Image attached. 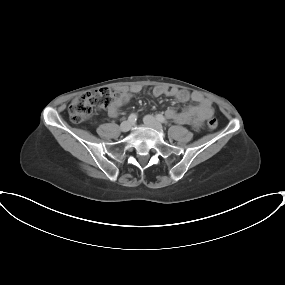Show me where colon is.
<instances>
[{
    "mask_svg": "<svg viewBox=\"0 0 285 285\" xmlns=\"http://www.w3.org/2000/svg\"><path fill=\"white\" fill-rule=\"evenodd\" d=\"M120 93L109 88L89 91L76 97L70 104L68 114L74 123H81L90 118L96 111L108 108L111 103L119 98ZM210 129H216L218 120L210 118L207 122Z\"/></svg>",
    "mask_w": 285,
    "mask_h": 285,
    "instance_id": "colon-1",
    "label": "colon"
}]
</instances>
